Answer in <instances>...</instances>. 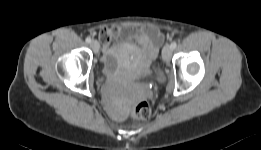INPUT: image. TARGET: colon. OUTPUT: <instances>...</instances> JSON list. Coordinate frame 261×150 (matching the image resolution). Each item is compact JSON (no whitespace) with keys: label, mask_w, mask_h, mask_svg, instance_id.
Listing matches in <instances>:
<instances>
[{"label":"colon","mask_w":261,"mask_h":150,"mask_svg":"<svg viewBox=\"0 0 261 150\" xmlns=\"http://www.w3.org/2000/svg\"><path fill=\"white\" fill-rule=\"evenodd\" d=\"M150 112V106L145 100L135 102L131 108V115L136 119H146L149 117Z\"/></svg>","instance_id":"1"}]
</instances>
